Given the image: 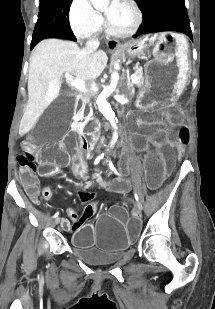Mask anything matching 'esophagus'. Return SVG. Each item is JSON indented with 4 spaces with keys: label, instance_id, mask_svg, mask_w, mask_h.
Segmentation results:
<instances>
[{
    "label": "esophagus",
    "instance_id": "esophagus-1",
    "mask_svg": "<svg viewBox=\"0 0 215 309\" xmlns=\"http://www.w3.org/2000/svg\"><path fill=\"white\" fill-rule=\"evenodd\" d=\"M107 45L110 50H115L117 47L121 46L118 40H109Z\"/></svg>",
    "mask_w": 215,
    "mask_h": 309
}]
</instances>
